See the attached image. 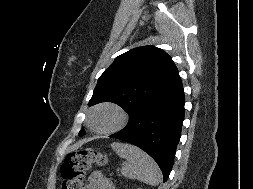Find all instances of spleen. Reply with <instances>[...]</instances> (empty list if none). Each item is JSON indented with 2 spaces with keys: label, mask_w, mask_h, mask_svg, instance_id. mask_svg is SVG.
Masks as SVG:
<instances>
[{
  "label": "spleen",
  "mask_w": 253,
  "mask_h": 189,
  "mask_svg": "<svg viewBox=\"0 0 253 189\" xmlns=\"http://www.w3.org/2000/svg\"><path fill=\"white\" fill-rule=\"evenodd\" d=\"M111 148L116 154L127 160L121 172L124 176L131 179H138L144 183L156 186L161 181V171L156 162L140 148L113 142Z\"/></svg>",
  "instance_id": "obj_1"
}]
</instances>
